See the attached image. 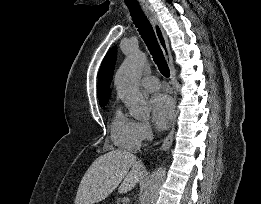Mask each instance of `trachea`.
<instances>
[{
    "label": "trachea",
    "instance_id": "3493384b",
    "mask_svg": "<svg viewBox=\"0 0 261 204\" xmlns=\"http://www.w3.org/2000/svg\"><path fill=\"white\" fill-rule=\"evenodd\" d=\"M127 7L131 13L133 22L146 46L148 47L150 54L153 56V60L157 64L159 71L163 76L169 77L170 70L163 52L158 44L152 25L148 21L139 5L127 4Z\"/></svg>",
    "mask_w": 261,
    "mask_h": 204
}]
</instances>
